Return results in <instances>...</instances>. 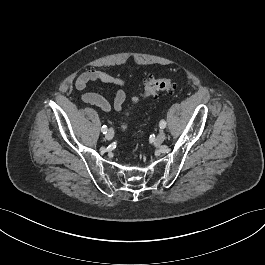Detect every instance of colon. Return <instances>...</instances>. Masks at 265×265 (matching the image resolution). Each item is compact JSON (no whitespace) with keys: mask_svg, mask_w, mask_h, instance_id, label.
<instances>
[{"mask_svg":"<svg viewBox=\"0 0 265 265\" xmlns=\"http://www.w3.org/2000/svg\"><path fill=\"white\" fill-rule=\"evenodd\" d=\"M177 89L178 84L172 78H157L153 75H148L144 80V91L141 96H158L163 92L173 93ZM138 100V97L133 98L134 103H136Z\"/></svg>","mask_w":265,"mask_h":265,"instance_id":"colon-1","label":"colon"}]
</instances>
